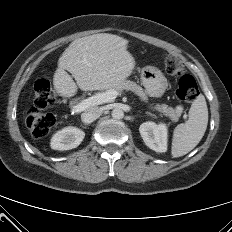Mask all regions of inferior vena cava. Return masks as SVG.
Masks as SVG:
<instances>
[{
  "instance_id": "obj_1",
  "label": "inferior vena cava",
  "mask_w": 232,
  "mask_h": 232,
  "mask_svg": "<svg viewBox=\"0 0 232 232\" xmlns=\"http://www.w3.org/2000/svg\"><path fill=\"white\" fill-rule=\"evenodd\" d=\"M102 114V109L100 107H91L81 114V120L85 124H90L95 121Z\"/></svg>"
}]
</instances>
